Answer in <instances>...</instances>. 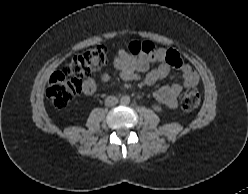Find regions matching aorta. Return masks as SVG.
<instances>
[{"label":"aorta","instance_id":"1","mask_svg":"<svg viewBox=\"0 0 248 194\" xmlns=\"http://www.w3.org/2000/svg\"><path fill=\"white\" fill-rule=\"evenodd\" d=\"M120 102L121 104L123 105H127L130 103V97L128 95H123L121 98H120Z\"/></svg>","mask_w":248,"mask_h":194}]
</instances>
